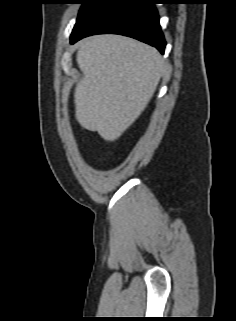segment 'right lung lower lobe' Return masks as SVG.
I'll use <instances>...</instances> for the list:
<instances>
[{"label":"right lung lower lobe","instance_id":"obj_1","mask_svg":"<svg viewBox=\"0 0 236 321\" xmlns=\"http://www.w3.org/2000/svg\"><path fill=\"white\" fill-rule=\"evenodd\" d=\"M154 4V0H109L71 37V43L94 34L114 33L138 39L164 53L166 42Z\"/></svg>","mask_w":236,"mask_h":321}]
</instances>
